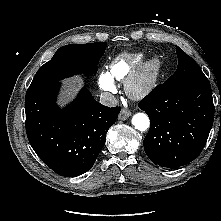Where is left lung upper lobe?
I'll return each instance as SVG.
<instances>
[{
    "mask_svg": "<svg viewBox=\"0 0 221 221\" xmlns=\"http://www.w3.org/2000/svg\"><path fill=\"white\" fill-rule=\"evenodd\" d=\"M178 68L176 72L165 81L170 84L197 83L210 84L198 64L181 48L176 46Z\"/></svg>",
    "mask_w": 221,
    "mask_h": 221,
    "instance_id": "obj_1",
    "label": "left lung upper lobe"
}]
</instances>
